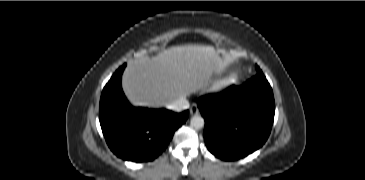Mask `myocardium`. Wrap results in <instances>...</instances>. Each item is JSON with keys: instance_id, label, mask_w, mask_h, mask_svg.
<instances>
[{"instance_id": "myocardium-1", "label": "myocardium", "mask_w": 365, "mask_h": 180, "mask_svg": "<svg viewBox=\"0 0 365 180\" xmlns=\"http://www.w3.org/2000/svg\"><path fill=\"white\" fill-rule=\"evenodd\" d=\"M237 81V74L230 73L228 75L223 76L222 78L218 79L214 82L211 87V93L213 94H220L234 85Z\"/></svg>"}]
</instances>
